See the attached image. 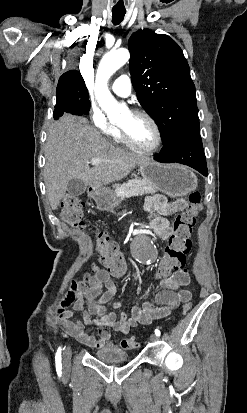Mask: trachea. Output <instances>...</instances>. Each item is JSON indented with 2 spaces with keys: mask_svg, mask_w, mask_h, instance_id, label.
Here are the masks:
<instances>
[{
  "mask_svg": "<svg viewBox=\"0 0 247 413\" xmlns=\"http://www.w3.org/2000/svg\"><path fill=\"white\" fill-rule=\"evenodd\" d=\"M126 11H112V21L114 25H119L122 22Z\"/></svg>",
  "mask_w": 247,
  "mask_h": 413,
  "instance_id": "3493384b",
  "label": "trachea"
}]
</instances>
